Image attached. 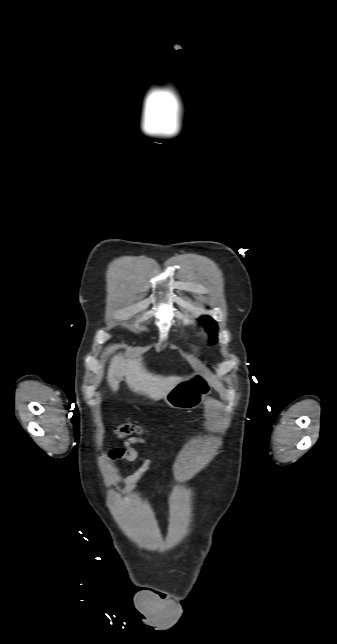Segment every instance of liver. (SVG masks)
<instances>
[{
  "instance_id": "obj_1",
  "label": "liver",
  "mask_w": 337,
  "mask_h": 644,
  "mask_svg": "<svg viewBox=\"0 0 337 644\" xmlns=\"http://www.w3.org/2000/svg\"><path fill=\"white\" fill-rule=\"evenodd\" d=\"M123 377L133 392L144 394L153 400L164 398L184 379L179 376L155 375L147 371L142 357L125 358L119 353L111 359L107 373L108 384L114 392L118 390Z\"/></svg>"
}]
</instances>
